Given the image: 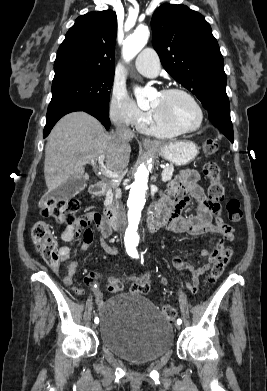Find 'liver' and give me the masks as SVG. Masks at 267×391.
Returning a JSON list of instances; mask_svg holds the SVG:
<instances>
[{"instance_id":"1","label":"liver","mask_w":267,"mask_h":391,"mask_svg":"<svg viewBox=\"0 0 267 391\" xmlns=\"http://www.w3.org/2000/svg\"><path fill=\"white\" fill-rule=\"evenodd\" d=\"M130 139L105 133L93 116L72 112L61 118L52 129L45 147L44 176L48 192L69 179H80L84 166L105 155L108 170L120 173L129 163Z\"/></svg>"}]
</instances>
